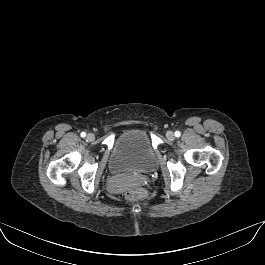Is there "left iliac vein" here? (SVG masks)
Wrapping results in <instances>:
<instances>
[{
	"label": "left iliac vein",
	"mask_w": 265,
	"mask_h": 265,
	"mask_svg": "<svg viewBox=\"0 0 265 265\" xmlns=\"http://www.w3.org/2000/svg\"><path fill=\"white\" fill-rule=\"evenodd\" d=\"M166 137L169 140H173L174 139V133L172 131H167L166 132Z\"/></svg>",
	"instance_id": "obj_1"
}]
</instances>
